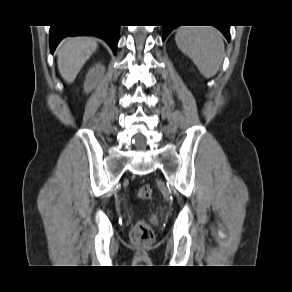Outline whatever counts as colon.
Instances as JSON below:
<instances>
[{"instance_id": "colon-1", "label": "colon", "mask_w": 292, "mask_h": 292, "mask_svg": "<svg viewBox=\"0 0 292 292\" xmlns=\"http://www.w3.org/2000/svg\"><path fill=\"white\" fill-rule=\"evenodd\" d=\"M152 188L150 185H144L139 188L137 197L141 201H149L152 198ZM131 241L135 244H147L154 240V232L150 225L141 220L135 224L131 230Z\"/></svg>"}]
</instances>
